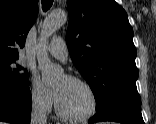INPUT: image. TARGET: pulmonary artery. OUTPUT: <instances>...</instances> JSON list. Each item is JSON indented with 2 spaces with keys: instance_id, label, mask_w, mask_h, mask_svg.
<instances>
[{
  "instance_id": "1",
  "label": "pulmonary artery",
  "mask_w": 156,
  "mask_h": 124,
  "mask_svg": "<svg viewBox=\"0 0 156 124\" xmlns=\"http://www.w3.org/2000/svg\"><path fill=\"white\" fill-rule=\"evenodd\" d=\"M46 50L59 60H66L68 57L67 46L62 38H54Z\"/></svg>"
}]
</instances>
